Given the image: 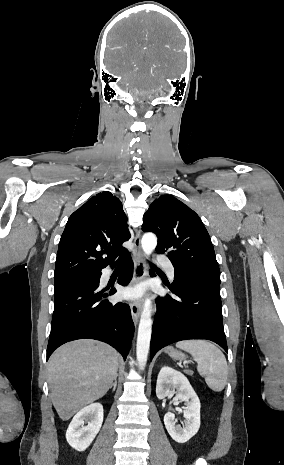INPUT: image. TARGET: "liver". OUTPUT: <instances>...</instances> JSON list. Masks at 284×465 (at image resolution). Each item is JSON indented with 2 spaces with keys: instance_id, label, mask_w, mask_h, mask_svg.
Instances as JSON below:
<instances>
[{
  "instance_id": "obj_1",
  "label": "liver",
  "mask_w": 284,
  "mask_h": 465,
  "mask_svg": "<svg viewBox=\"0 0 284 465\" xmlns=\"http://www.w3.org/2000/svg\"><path fill=\"white\" fill-rule=\"evenodd\" d=\"M119 355L97 341L59 347L48 363L52 403L62 421L106 395L117 375Z\"/></svg>"
}]
</instances>
